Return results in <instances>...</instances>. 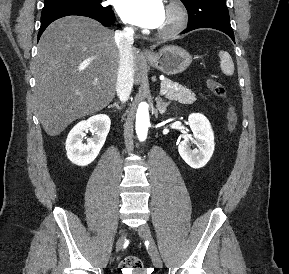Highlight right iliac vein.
<instances>
[{"label": "right iliac vein", "instance_id": "right-iliac-vein-1", "mask_svg": "<svg viewBox=\"0 0 289 274\" xmlns=\"http://www.w3.org/2000/svg\"><path fill=\"white\" fill-rule=\"evenodd\" d=\"M126 239V234L123 232L116 242V250L120 251Z\"/></svg>", "mask_w": 289, "mask_h": 274}]
</instances>
